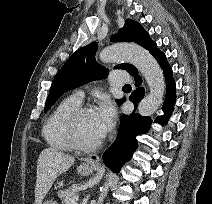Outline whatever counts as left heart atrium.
I'll return each instance as SVG.
<instances>
[{
	"label": "left heart atrium",
	"instance_id": "1",
	"mask_svg": "<svg viewBox=\"0 0 212 204\" xmlns=\"http://www.w3.org/2000/svg\"><path fill=\"white\" fill-rule=\"evenodd\" d=\"M102 136L104 137L114 126L116 112L113 105L109 102H104L96 111Z\"/></svg>",
	"mask_w": 212,
	"mask_h": 204
}]
</instances>
